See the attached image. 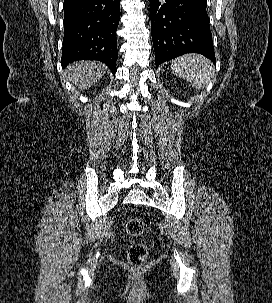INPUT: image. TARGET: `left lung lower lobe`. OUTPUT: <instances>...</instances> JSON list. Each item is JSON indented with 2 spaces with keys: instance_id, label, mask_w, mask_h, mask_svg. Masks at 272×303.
I'll return each instance as SVG.
<instances>
[{
  "instance_id": "left-lung-lower-lobe-1",
  "label": "left lung lower lobe",
  "mask_w": 272,
  "mask_h": 303,
  "mask_svg": "<svg viewBox=\"0 0 272 303\" xmlns=\"http://www.w3.org/2000/svg\"><path fill=\"white\" fill-rule=\"evenodd\" d=\"M206 0H151L155 64L185 53H200L216 63Z\"/></svg>"
}]
</instances>
